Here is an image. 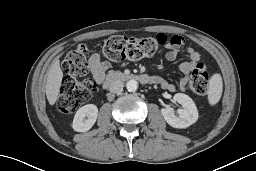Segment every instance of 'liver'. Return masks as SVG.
<instances>
[{
	"mask_svg": "<svg viewBox=\"0 0 256 171\" xmlns=\"http://www.w3.org/2000/svg\"><path fill=\"white\" fill-rule=\"evenodd\" d=\"M63 72L60 68L59 59H55L49 72L46 81V96L50 105H54L58 99Z\"/></svg>",
	"mask_w": 256,
	"mask_h": 171,
	"instance_id": "obj_1",
	"label": "liver"
}]
</instances>
